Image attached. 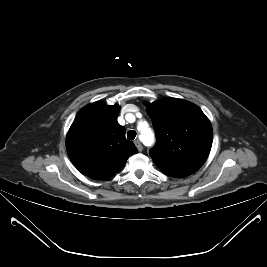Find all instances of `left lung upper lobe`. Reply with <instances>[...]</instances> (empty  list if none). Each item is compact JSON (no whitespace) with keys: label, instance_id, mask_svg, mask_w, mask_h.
Listing matches in <instances>:
<instances>
[{"label":"left lung upper lobe","instance_id":"5c2ea615","mask_svg":"<svg viewBox=\"0 0 267 267\" xmlns=\"http://www.w3.org/2000/svg\"><path fill=\"white\" fill-rule=\"evenodd\" d=\"M157 143L151 149L154 163L167 175L182 178L206 161L213 140L210 121L195 104L182 99L147 103Z\"/></svg>","mask_w":267,"mask_h":267}]
</instances>
